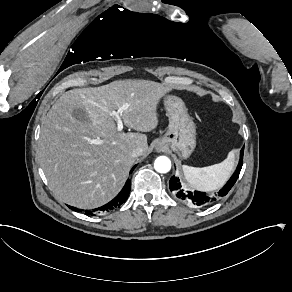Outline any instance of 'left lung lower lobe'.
I'll return each instance as SVG.
<instances>
[{
  "mask_svg": "<svg viewBox=\"0 0 292 292\" xmlns=\"http://www.w3.org/2000/svg\"><path fill=\"white\" fill-rule=\"evenodd\" d=\"M243 153H244V148L241 149L240 151V160L239 164L237 166L236 171L234 174L231 176L230 180L226 183V185L220 189L217 193L210 195L206 194L205 192H200V191H195V192H190L186 191L182 188L181 183L179 182V179L175 176H172L169 182V187L171 192L176 196V198L188 204L189 206H199V207H206L209 206L210 204L216 202L218 199L226 196L229 191L232 189L234 184L236 183L241 168L243 164Z\"/></svg>",
  "mask_w": 292,
  "mask_h": 292,
  "instance_id": "1",
  "label": "left lung lower lobe"
}]
</instances>
